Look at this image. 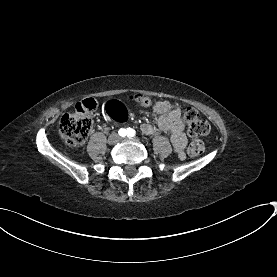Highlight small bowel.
I'll return each instance as SVG.
<instances>
[{
	"label": "small bowel",
	"mask_w": 277,
	"mask_h": 277,
	"mask_svg": "<svg viewBox=\"0 0 277 277\" xmlns=\"http://www.w3.org/2000/svg\"><path fill=\"white\" fill-rule=\"evenodd\" d=\"M152 112L157 116L158 129L170 133L175 152L179 158H184L187 139L180 108L168 101H158L153 105ZM141 130L146 135H153L156 132V126L145 123L141 126Z\"/></svg>",
	"instance_id": "small-bowel-1"
}]
</instances>
